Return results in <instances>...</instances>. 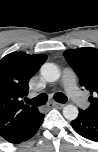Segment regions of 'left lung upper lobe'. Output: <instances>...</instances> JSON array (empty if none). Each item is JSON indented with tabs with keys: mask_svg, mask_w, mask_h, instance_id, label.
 I'll use <instances>...</instances> for the list:
<instances>
[{
	"mask_svg": "<svg viewBox=\"0 0 98 152\" xmlns=\"http://www.w3.org/2000/svg\"><path fill=\"white\" fill-rule=\"evenodd\" d=\"M64 56L79 77L80 85L91 94L89 108L82 111L98 118V50L92 47L70 49Z\"/></svg>",
	"mask_w": 98,
	"mask_h": 152,
	"instance_id": "1",
	"label": "left lung upper lobe"
}]
</instances>
